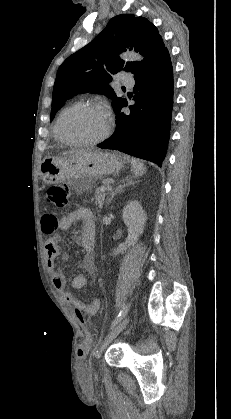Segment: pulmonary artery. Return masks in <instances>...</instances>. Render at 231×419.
Instances as JSON below:
<instances>
[{
  "mask_svg": "<svg viewBox=\"0 0 231 419\" xmlns=\"http://www.w3.org/2000/svg\"><path fill=\"white\" fill-rule=\"evenodd\" d=\"M122 83H123V85H125L126 87L131 88V87H133V86H134V79H133L132 77H130V76L123 77V78H122Z\"/></svg>",
  "mask_w": 231,
  "mask_h": 419,
  "instance_id": "e3ab8cb5",
  "label": "pulmonary artery"
}]
</instances>
